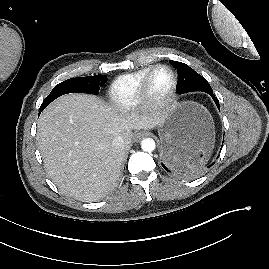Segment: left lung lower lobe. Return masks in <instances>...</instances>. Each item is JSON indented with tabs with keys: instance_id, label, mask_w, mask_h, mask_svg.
I'll list each match as a JSON object with an SVG mask.
<instances>
[{
	"instance_id": "1",
	"label": "left lung lower lobe",
	"mask_w": 269,
	"mask_h": 269,
	"mask_svg": "<svg viewBox=\"0 0 269 269\" xmlns=\"http://www.w3.org/2000/svg\"><path fill=\"white\" fill-rule=\"evenodd\" d=\"M213 98L214 102L216 103L218 109H219V102L214 97L213 92L208 93ZM162 156V166L163 168L168 172H178V173H184L187 172L185 169H183L182 166H180L179 162L181 160V155L175 145H167L164 152L161 154ZM214 164V163H213ZM211 167V165H209ZM198 171V169H191V171H188L187 173H192L195 175V172ZM194 172V173H193Z\"/></svg>"
}]
</instances>
